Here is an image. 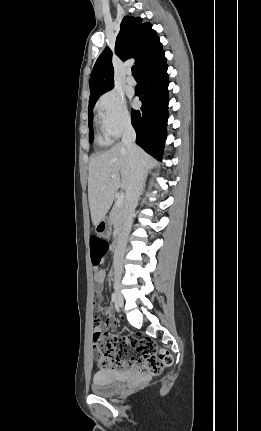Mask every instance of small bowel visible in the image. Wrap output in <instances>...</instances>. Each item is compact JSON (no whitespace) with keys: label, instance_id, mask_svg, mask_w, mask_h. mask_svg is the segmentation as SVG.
<instances>
[{"label":"small bowel","instance_id":"c3829d8e","mask_svg":"<svg viewBox=\"0 0 261 431\" xmlns=\"http://www.w3.org/2000/svg\"><path fill=\"white\" fill-rule=\"evenodd\" d=\"M106 272L104 269L101 268H94V282H95V298L93 299V302L96 305H99L103 300V292H104V280H105ZM108 316V319H106L104 322H100L99 324L95 323L94 327V333L96 331H102V329H110L113 326L112 319L115 318L116 313L115 311L111 310L110 308L103 309L102 316ZM96 316H99V313H96Z\"/></svg>","mask_w":261,"mask_h":431}]
</instances>
